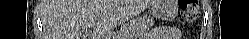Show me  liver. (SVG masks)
<instances>
[{"label": "liver", "mask_w": 249, "mask_h": 39, "mask_svg": "<svg viewBox=\"0 0 249 39\" xmlns=\"http://www.w3.org/2000/svg\"><path fill=\"white\" fill-rule=\"evenodd\" d=\"M156 0H46L43 25L49 39H107L110 31ZM93 30L91 34L88 31ZM89 37V38H86Z\"/></svg>", "instance_id": "liver-1"}]
</instances>
